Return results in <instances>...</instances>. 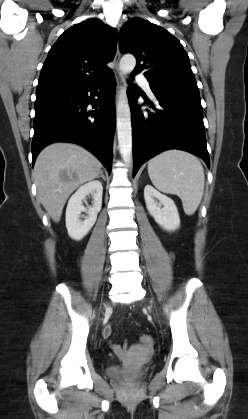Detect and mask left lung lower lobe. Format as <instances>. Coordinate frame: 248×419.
<instances>
[{
	"label": "left lung lower lobe",
	"instance_id": "0a47b994",
	"mask_svg": "<svg viewBox=\"0 0 248 419\" xmlns=\"http://www.w3.org/2000/svg\"><path fill=\"white\" fill-rule=\"evenodd\" d=\"M134 74H132L133 77ZM159 103L142 110L135 104L137 93L128 88L133 137V175L143 163L169 149H180L201 157L210 166L206 147L202 106L198 94L154 92Z\"/></svg>",
	"mask_w": 248,
	"mask_h": 419
}]
</instances>
